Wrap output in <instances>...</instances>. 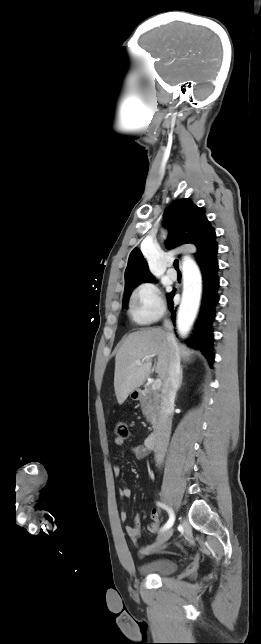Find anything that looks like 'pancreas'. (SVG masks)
Wrapping results in <instances>:
<instances>
[{"label": "pancreas", "instance_id": "cf45deb5", "mask_svg": "<svg viewBox=\"0 0 261 644\" xmlns=\"http://www.w3.org/2000/svg\"><path fill=\"white\" fill-rule=\"evenodd\" d=\"M158 400L154 392L148 388L146 390V396L141 399V408L143 415L146 417V420L151 424L155 421L154 407L157 405Z\"/></svg>", "mask_w": 261, "mask_h": 644}]
</instances>
